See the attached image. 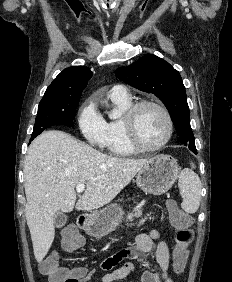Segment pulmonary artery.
I'll use <instances>...</instances> for the list:
<instances>
[{
  "label": "pulmonary artery",
  "instance_id": "obj_1",
  "mask_svg": "<svg viewBox=\"0 0 232 282\" xmlns=\"http://www.w3.org/2000/svg\"><path fill=\"white\" fill-rule=\"evenodd\" d=\"M110 95L117 98H129L128 89L123 85H115L110 90Z\"/></svg>",
  "mask_w": 232,
  "mask_h": 282
}]
</instances>
